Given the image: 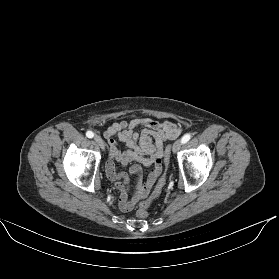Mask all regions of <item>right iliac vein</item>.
<instances>
[{"instance_id": "63e3f726", "label": "right iliac vein", "mask_w": 279, "mask_h": 279, "mask_svg": "<svg viewBox=\"0 0 279 279\" xmlns=\"http://www.w3.org/2000/svg\"><path fill=\"white\" fill-rule=\"evenodd\" d=\"M94 140L103 150L105 149V143L100 136H95Z\"/></svg>"}]
</instances>
